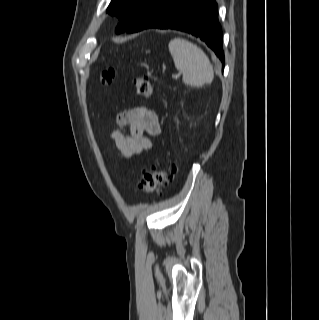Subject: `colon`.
<instances>
[{
    "label": "colon",
    "instance_id": "1",
    "mask_svg": "<svg viewBox=\"0 0 319 320\" xmlns=\"http://www.w3.org/2000/svg\"><path fill=\"white\" fill-rule=\"evenodd\" d=\"M114 76L115 71L113 69L104 70L100 75L101 84L107 85L111 83ZM134 86L139 96L147 98L152 95L153 87L149 78L145 76L135 78ZM175 171L174 164L166 167L152 166L143 173L137 183V188L144 192L158 191L170 184Z\"/></svg>",
    "mask_w": 319,
    "mask_h": 320
}]
</instances>
